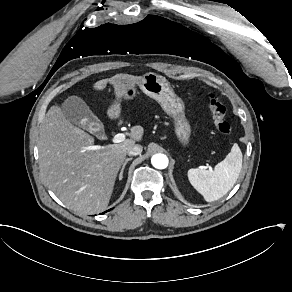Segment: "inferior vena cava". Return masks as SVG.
<instances>
[{"instance_id": "obj_1", "label": "inferior vena cava", "mask_w": 292, "mask_h": 292, "mask_svg": "<svg viewBox=\"0 0 292 292\" xmlns=\"http://www.w3.org/2000/svg\"><path fill=\"white\" fill-rule=\"evenodd\" d=\"M142 149L143 148H142L141 145L136 144V145L132 146L130 149L127 150V154L128 155H133V156L139 155L142 152Z\"/></svg>"}]
</instances>
